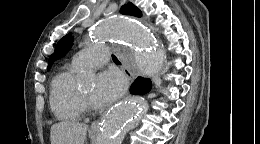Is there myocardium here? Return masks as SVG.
<instances>
[{"instance_id":"f54148a6","label":"myocardium","mask_w":260,"mask_h":144,"mask_svg":"<svg viewBox=\"0 0 260 144\" xmlns=\"http://www.w3.org/2000/svg\"><path fill=\"white\" fill-rule=\"evenodd\" d=\"M80 97H81V101L83 103L84 106H88L90 108H93V104L91 101V98H89L83 91V89H80Z\"/></svg>"}]
</instances>
